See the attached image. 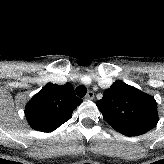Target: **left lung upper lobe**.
<instances>
[{
	"label": "left lung upper lobe",
	"instance_id": "left-lung-upper-lobe-1",
	"mask_svg": "<svg viewBox=\"0 0 164 164\" xmlns=\"http://www.w3.org/2000/svg\"><path fill=\"white\" fill-rule=\"evenodd\" d=\"M96 105L107 123L126 136L144 134L159 120L154 97L121 80L105 90Z\"/></svg>",
	"mask_w": 164,
	"mask_h": 164
}]
</instances>
